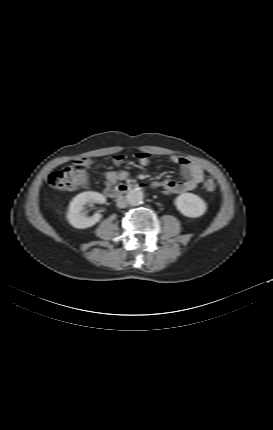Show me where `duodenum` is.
<instances>
[{
  "mask_svg": "<svg viewBox=\"0 0 273 430\" xmlns=\"http://www.w3.org/2000/svg\"><path fill=\"white\" fill-rule=\"evenodd\" d=\"M139 188L140 186L135 183H121L118 185H108L105 192L108 197L117 198Z\"/></svg>",
  "mask_w": 273,
  "mask_h": 430,
  "instance_id": "1",
  "label": "duodenum"
}]
</instances>
